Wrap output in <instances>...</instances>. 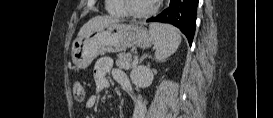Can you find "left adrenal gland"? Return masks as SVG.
Wrapping results in <instances>:
<instances>
[{"label": "left adrenal gland", "instance_id": "obj_1", "mask_svg": "<svg viewBox=\"0 0 273 118\" xmlns=\"http://www.w3.org/2000/svg\"><path fill=\"white\" fill-rule=\"evenodd\" d=\"M146 57H147V55H143V56L141 57V59H140V63H142L143 60H144Z\"/></svg>", "mask_w": 273, "mask_h": 118}]
</instances>
